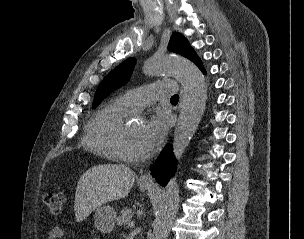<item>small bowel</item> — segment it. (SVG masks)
I'll list each match as a JSON object with an SVG mask.
<instances>
[{
	"instance_id": "1",
	"label": "small bowel",
	"mask_w": 304,
	"mask_h": 239,
	"mask_svg": "<svg viewBox=\"0 0 304 239\" xmlns=\"http://www.w3.org/2000/svg\"><path fill=\"white\" fill-rule=\"evenodd\" d=\"M65 237V231L60 227H53L49 232V239H61Z\"/></svg>"
}]
</instances>
